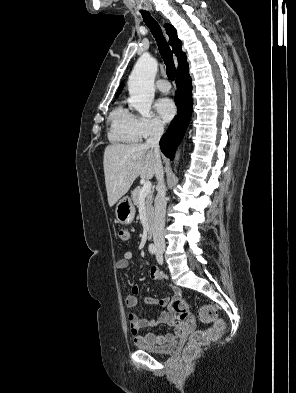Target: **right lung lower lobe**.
Masks as SVG:
<instances>
[{"label":"right lung lower lobe","instance_id":"right-lung-lower-lobe-1","mask_svg":"<svg viewBox=\"0 0 296 393\" xmlns=\"http://www.w3.org/2000/svg\"><path fill=\"white\" fill-rule=\"evenodd\" d=\"M176 85L175 102L178 109L177 116L160 140L161 151L171 160L174 157L176 147L183 138L192 113V83L188 64L177 71Z\"/></svg>","mask_w":296,"mask_h":393}]
</instances>
